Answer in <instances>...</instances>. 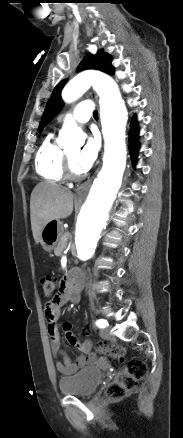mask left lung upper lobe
<instances>
[{
	"mask_svg": "<svg viewBox=\"0 0 183 438\" xmlns=\"http://www.w3.org/2000/svg\"><path fill=\"white\" fill-rule=\"evenodd\" d=\"M111 57L107 53H98L95 56L87 54L83 61L77 68V71L85 69H97L108 74L114 73V68L110 63ZM65 80L61 81L54 88L51 98L49 99L45 111L42 116V120L39 125L38 131L41 132L43 128L60 112L63 106L61 99V90L65 84Z\"/></svg>",
	"mask_w": 183,
	"mask_h": 438,
	"instance_id": "1",
	"label": "left lung upper lobe"
}]
</instances>
